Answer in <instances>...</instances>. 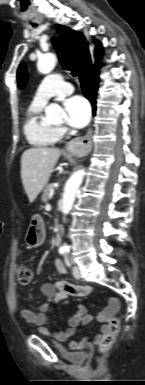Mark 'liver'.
<instances>
[{"mask_svg": "<svg viewBox=\"0 0 145 385\" xmlns=\"http://www.w3.org/2000/svg\"><path fill=\"white\" fill-rule=\"evenodd\" d=\"M58 148H30L21 157V179L32 203L49 181L50 174L60 157Z\"/></svg>", "mask_w": 145, "mask_h": 385, "instance_id": "1", "label": "liver"}]
</instances>
